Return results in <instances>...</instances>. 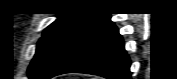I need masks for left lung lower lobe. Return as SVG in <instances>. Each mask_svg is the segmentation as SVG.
I'll list each match as a JSON object with an SVG mask.
<instances>
[{
  "label": "left lung lower lobe",
  "mask_w": 177,
  "mask_h": 79,
  "mask_svg": "<svg viewBox=\"0 0 177 79\" xmlns=\"http://www.w3.org/2000/svg\"><path fill=\"white\" fill-rule=\"evenodd\" d=\"M129 67L123 39L108 16L70 50L51 77L87 73L108 79H130Z\"/></svg>",
  "instance_id": "1"
}]
</instances>
